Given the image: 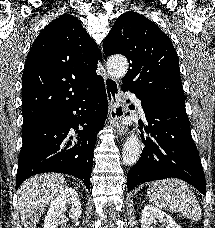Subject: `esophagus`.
I'll list each match as a JSON object with an SVG mask.
<instances>
[{
    "label": "esophagus",
    "mask_w": 215,
    "mask_h": 228,
    "mask_svg": "<svg viewBox=\"0 0 215 228\" xmlns=\"http://www.w3.org/2000/svg\"><path fill=\"white\" fill-rule=\"evenodd\" d=\"M106 95L109 105V119L115 125L118 135H126L127 127L121 121L125 117V107L121 100L120 86L118 81L109 75L104 78Z\"/></svg>",
    "instance_id": "esophagus-1"
}]
</instances>
